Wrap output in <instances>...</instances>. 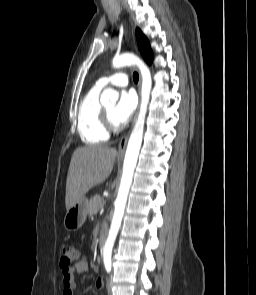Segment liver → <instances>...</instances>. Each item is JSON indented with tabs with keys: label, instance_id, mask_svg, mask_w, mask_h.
Wrapping results in <instances>:
<instances>
[{
	"label": "liver",
	"instance_id": "1",
	"mask_svg": "<svg viewBox=\"0 0 256 295\" xmlns=\"http://www.w3.org/2000/svg\"><path fill=\"white\" fill-rule=\"evenodd\" d=\"M117 150L107 145H89L77 148L71 158L65 205L69 210L94 186L110 175Z\"/></svg>",
	"mask_w": 256,
	"mask_h": 295
}]
</instances>
